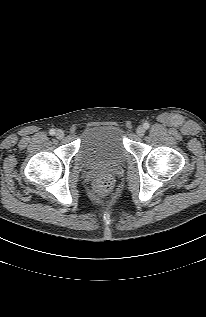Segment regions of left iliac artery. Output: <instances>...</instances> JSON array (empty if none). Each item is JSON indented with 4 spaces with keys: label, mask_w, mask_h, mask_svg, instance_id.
<instances>
[{
    "label": "left iliac artery",
    "mask_w": 206,
    "mask_h": 317,
    "mask_svg": "<svg viewBox=\"0 0 206 317\" xmlns=\"http://www.w3.org/2000/svg\"><path fill=\"white\" fill-rule=\"evenodd\" d=\"M143 126H144L145 129H148L150 127L149 123H147V122L144 123Z\"/></svg>",
    "instance_id": "obj_1"
}]
</instances>
